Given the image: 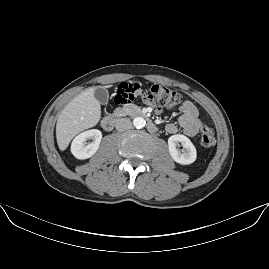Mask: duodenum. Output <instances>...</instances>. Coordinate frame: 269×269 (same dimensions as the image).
Returning <instances> with one entry per match:
<instances>
[{"mask_svg":"<svg viewBox=\"0 0 269 269\" xmlns=\"http://www.w3.org/2000/svg\"><path fill=\"white\" fill-rule=\"evenodd\" d=\"M130 113L139 117H144V118L147 117L146 112L137 108L131 109ZM115 123H116V117L113 115H107L102 119L101 126L105 131H111L114 128ZM146 126H147L148 131L151 133H154L158 130L157 125L149 119H147Z\"/></svg>","mask_w":269,"mask_h":269,"instance_id":"duodenum-1","label":"duodenum"}]
</instances>
